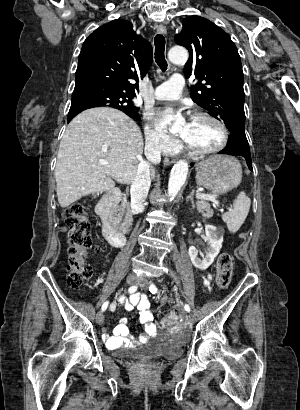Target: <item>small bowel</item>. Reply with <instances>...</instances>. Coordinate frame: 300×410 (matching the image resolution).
<instances>
[{
  "mask_svg": "<svg viewBox=\"0 0 300 410\" xmlns=\"http://www.w3.org/2000/svg\"><path fill=\"white\" fill-rule=\"evenodd\" d=\"M210 283L208 276L204 284L207 286ZM119 304L127 311H136L139 321L144 325V331L138 337L134 338L130 334L126 319H121L119 324L113 329L112 335L104 334V340L109 348L127 347L132 344L143 343L151 337H155L158 333V327L154 323V317L149 310V300L144 294L136 293L128 298L121 297ZM116 304L110 306V310L114 311Z\"/></svg>",
  "mask_w": 300,
  "mask_h": 410,
  "instance_id": "c3829d8e",
  "label": "small bowel"
}]
</instances>
